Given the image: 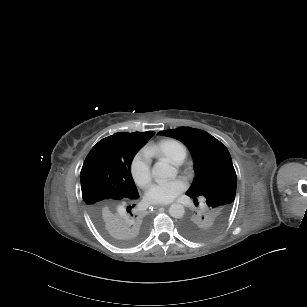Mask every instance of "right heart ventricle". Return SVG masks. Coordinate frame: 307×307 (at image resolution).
<instances>
[{"label": "right heart ventricle", "mask_w": 307, "mask_h": 307, "mask_svg": "<svg viewBox=\"0 0 307 307\" xmlns=\"http://www.w3.org/2000/svg\"><path fill=\"white\" fill-rule=\"evenodd\" d=\"M189 152L190 147L188 144L176 138H169L163 143V149L160 153L175 160L178 158L184 159Z\"/></svg>", "instance_id": "1"}]
</instances>
